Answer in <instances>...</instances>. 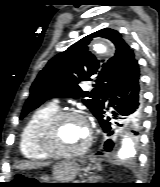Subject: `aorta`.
Listing matches in <instances>:
<instances>
[{
  "mask_svg": "<svg viewBox=\"0 0 160 187\" xmlns=\"http://www.w3.org/2000/svg\"><path fill=\"white\" fill-rule=\"evenodd\" d=\"M94 51H96L98 54H103L107 51V47L103 43H96L93 46ZM135 141L134 139L128 135H122L121 137V146L120 149L117 151V158L124 159L132 157L135 154Z\"/></svg>",
  "mask_w": 160,
  "mask_h": 187,
  "instance_id": "762f6f07",
  "label": "aorta"
}]
</instances>
